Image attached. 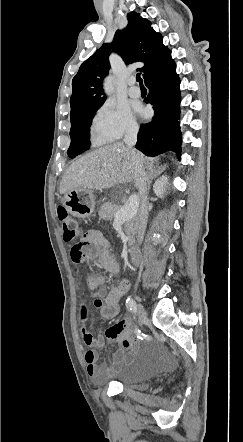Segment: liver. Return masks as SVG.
<instances>
[{"instance_id":"1","label":"liver","mask_w":243,"mask_h":442,"mask_svg":"<svg viewBox=\"0 0 243 442\" xmlns=\"http://www.w3.org/2000/svg\"><path fill=\"white\" fill-rule=\"evenodd\" d=\"M143 168L151 170L157 159L136 152ZM135 180L131 151L121 142L95 149L73 162L66 170L59 187L60 194L71 190L107 189L118 183Z\"/></svg>"}]
</instances>
